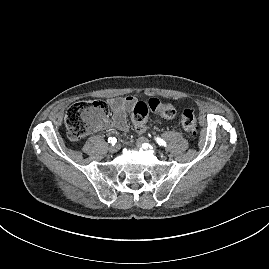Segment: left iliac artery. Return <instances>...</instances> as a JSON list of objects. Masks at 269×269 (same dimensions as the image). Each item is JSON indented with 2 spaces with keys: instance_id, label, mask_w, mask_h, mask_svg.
<instances>
[{
  "instance_id": "obj_1",
  "label": "left iliac artery",
  "mask_w": 269,
  "mask_h": 269,
  "mask_svg": "<svg viewBox=\"0 0 269 269\" xmlns=\"http://www.w3.org/2000/svg\"><path fill=\"white\" fill-rule=\"evenodd\" d=\"M155 141L161 146H166V142L163 139H161L160 137H156Z\"/></svg>"
}]
</instances>
